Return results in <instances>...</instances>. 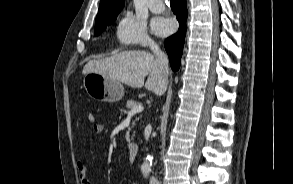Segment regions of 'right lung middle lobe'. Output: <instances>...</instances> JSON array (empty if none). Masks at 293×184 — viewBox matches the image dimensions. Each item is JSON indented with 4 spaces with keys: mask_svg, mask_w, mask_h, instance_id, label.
<instances>
[{
    "mask_svg": "<svg viewBox=\"0 0 293 184\" xmlns=\"http://www.w3.org/2000/svg\"><path fill=\"white\" fill-rule=\"evenodd\" d=\"M114 21L108 22V23H104L101 25H95V29H94V35L98 36L100 35L108 25L112 24Z\"/></svg>",
    "mask_w": 293,
    "mask_h": 184,
    "instance_id": "1",
    "label": "right lung middle lobe"
}]
</instances>
